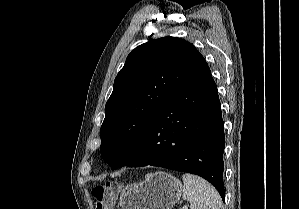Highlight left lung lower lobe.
Returning a JSON list of instances; mask_svg holds the SVG:
<instances>
[{"label": "left lung lower lobe", "mask_w": 299, "mask_h": 209, "mask_svg": "<svg viewBox=\"0 0 299 209\" xmlns=\"http://www.w3.org/2000/svg\"><path fill=\"white\" fill-rule=\"evenodd\" d=\"M224 122L208 65L161 107L122 166H160L208 180L224 200Z\"/></svg>", "instance_id": "left-lung-lower-lobe-1"}]
</instances>
